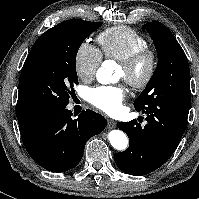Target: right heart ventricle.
<instances>
[{"label": "right heart ventricle", "mask_w": 199, "mask_h": 199, "mask_svg": "<svg viewBox=\"0 0 199 199\" xmlns=\"http://www.w3.org/2000/svg\"><path fill=\"white\" fill-rule=\"evenodd\" d=\"M97 40L107 59L122 60L147 47L145 38L127 26H114L102 31Z\"/></svg>", "instance_id": "1"}]
</instances>
